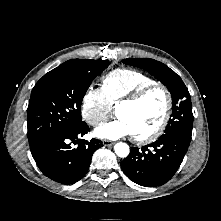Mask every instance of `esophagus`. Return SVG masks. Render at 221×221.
I'll list each match as a JSON object with an SVG mask.
<instances>
[{
	"instance_id": "esophagus-1",
	"label": "esophagus",
	"mask_w": 221,
	"mask_h": 221,
	"mask_svg": "<svg viewBox=\"0 0 221 221\" xmlns=\"http://www.w3.org/2000/svg\"><path fill=\"white\" fill-rule=\"evenodd\" d=\"M102 144H103L104 146H112V145L114 144V142H113V141H110V140H103V141H102Z\"/></svg>"
}]
</instances>
